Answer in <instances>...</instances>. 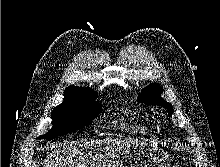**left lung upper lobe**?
<instances>
[{
  "label": "left lung upper lobe",
  "mask_w": 220,
  "mask_h": 167,
  "mask_svg": "<svg viewBox=\"0 0 220 167\" xmlns=\"http://www.w3.org/2000/svg\"><path fill=\"white\" fill-rule=\"evenodd\" d=\"M162 91L163 88L159 84L148 85L142 90L141 95L138 97V102L165 107L171 116L173 112L172 105L161 97Z\"/></svg>",
  "instance_id": "left-lung-upper-lobe-1"
}]
</instances>
